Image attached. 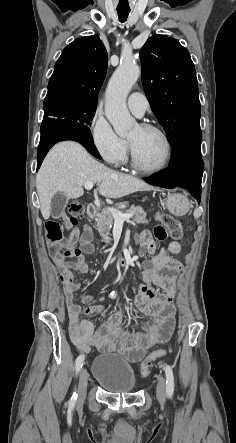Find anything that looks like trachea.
<instances>
[{
  "label": "trachea",
  "mask_w": 236,
  "mask_h": 443,
  "mask_svg": "<svg viewBox=\"0 0 236 443\" xmlns=\"http://www.w3.org/2000/svg\"><path fill=\"white\" fill-rule=\"evenodd\" d=\"M117 12L120 22H125L129 15L130 9H117Z\"/></svg>",
  "instance_id": "1"
}]
</instances>
